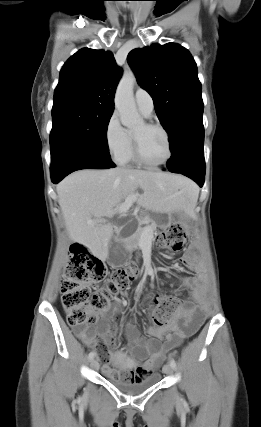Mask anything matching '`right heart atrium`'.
Segmentation results:
<instances>
[{"label": "right heart atrium", "instance_id": "obj_1", "mask_svg": "<svg viewBox=\"0 0 261 427\" xmlns=\"http://www.w3.org/2000/svg\"><path fill=\"white\" fill-rule=\"evenodd\" d=\"M104 138L108 152L119 162L130 145V137L128 131L121 125L116 112H113L106 122Z\"/></svg>", "mask_w": 261, "mask_h": 427}]
</instances>
